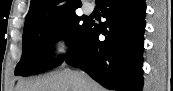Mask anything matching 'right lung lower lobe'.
<instances>
[{
    "instance_id": "98d812e1",
    "label": "right lung lower lobe",
    "mask_w": 173,
    "mask_h": 91,
    "mask_svg": "<svg viewBox=\"0 0 173 91\" xmlns=\"http://www.w3.org/2000/svg\"><path fill=\"white\" fill-rule=\"evenodd\" d=\"M106 21L90 22L67 63L109 89L141 91L145 0H99ZM103 34L105 40H99Z\"/></svg>"
}]
</instances>
